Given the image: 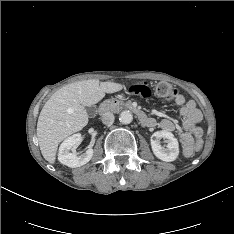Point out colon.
Segmentation results:
<instances>
[{
  "mask_svg": "<svg viewBox=\"0 0 234 234\" xmlns=\"http://www.w3.org/2000/svg\"><path fill=\"white\" fill-rule=\"evenodd\" d=\"M128 91L136 95H141L144 98H151L154 95L162 98H171L174 94V90L167 83H159L156 85L155 89L153 90L150 87L149 83L145 81L137 82L130 85ZM201 146H202L201 143L197 142L194 148L196 150H199Z\"/></svg>",
  "mask_w": 234,
  "mask_h": 234,
  "instance_id": "obj_1",
  "label": "colon"
}]
</instances>
